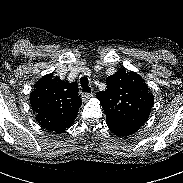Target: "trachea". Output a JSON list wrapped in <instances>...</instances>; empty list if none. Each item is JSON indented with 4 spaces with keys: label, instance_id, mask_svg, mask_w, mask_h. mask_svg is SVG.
<instances>
[{
    "label": "trachea",
    "instance_id": "obj_1",
    "mask_svg": "<svg viewBox=\"0 0 183 183\" xmlns=\"http://www.w3.org/2000/svg\"><path fill=\"white\" fill-rule=\"evenodd\" d=\"M80 82H81V86H82V91L86 92V93H90L91 89H90V87L88 85L87 77H81Z\"/></svg>",
    "mask_w": 183,
    "mask_h": 183
}]
</instances>
